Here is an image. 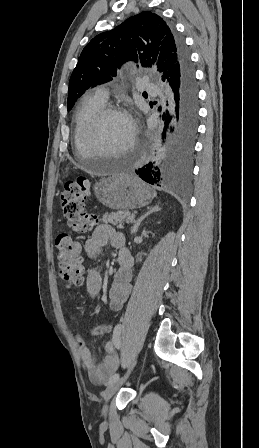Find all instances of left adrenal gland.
Here are the masks:
<instances>
[{
    "mask_svg": "<svg viewBox=\"0 0 259 448\" xmlns=\"http://www.w3.org/2000/svg\"><path fill=\"white\" fill-rule=\"evenodd\" d=\"M159 210H161V208H159V206H154V208H151V210H149V212H146V214H144V216H141V218H139V220H137V222H135V224L132 228L131 234H136V232H138V228H139L142 220H144V218H147V216H149V214H152V212H159Z\"/></svg>",
    "mask_w": 259,
    "mask_h": 448,
    "instance_id": "left-adrenal-gland-1",
    "label": "left adrenal gland"
}]
</instances>
